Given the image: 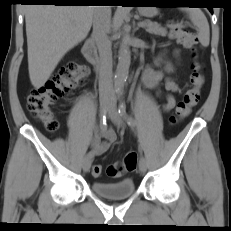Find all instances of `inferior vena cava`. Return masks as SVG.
<instances>
[{
  "instance_id": "obj_1",
  "label": "inferior vena cava",
  "mask_w": 231,
  "mask_h": 231,
  "mask_svg": "<svg viewBox=\"0 0 231 231\" xmlns=\"http://www.w3.org/2000/svg\"><path fill=\"white\" fill-rule=\"evenodd\" d=\"M111 28L110 6H96L93 15V37L99 51V91L101 94L113 91L112 43L108 37Z\"/></svg>"
}]
</instances>
